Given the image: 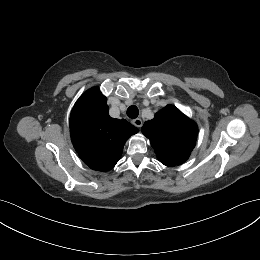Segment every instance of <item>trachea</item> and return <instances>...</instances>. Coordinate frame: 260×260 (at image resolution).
Returning <instances> with one entry per match:
<instances>
[{
	"label": "trachea",
	"instance_id": "trachea-1",
	"mask_svg": "<svg viewBox=\"0 0 260 260\" xmlns=\"http://www.w3.org/2000/svg\"><path fill=\"white\" fill-rule=\"evenodd\" d=\"M127 115L129 118L131 119H135L138 117L139 115V110L135 105H131L128 109H127Z\"/></svg>",
	"mask_w": 260,
	"mask_h": 260
}]
</instances>
